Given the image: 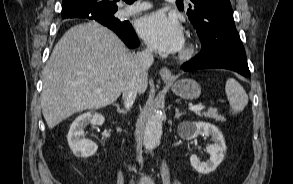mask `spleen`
I'll use <instances>...</instances> for the list:
<instances>
[{
	"mask_svg": "<svg viewBox=\"0 0 293 184\" xmlns=\"http://www.w3.org/2000/svg\"><path fill=\"white\" fill-rule=\"evenodd\" d=\"M225 93L229 100L231 111L238 113L243 111L248 104V95L241 84L234 78H228L225 85Z\"/></svg>",
	"mask_w": 293,
	"mask_h": 184,
	"instance_id": "3e777b00",
	"label": "spleen"
}]
</instances>
